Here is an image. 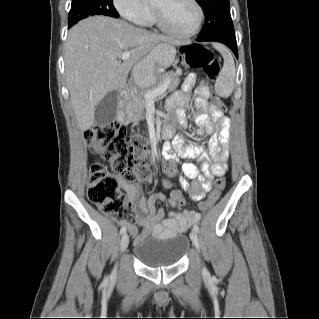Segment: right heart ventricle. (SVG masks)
<instances>
[{
    "instance_id": "right-heart-ventricle-1",
    "label": "right heart ventricle",
    "mask_w": 319,
    "mask_h": 319,
    "mask_svg": "<svg viewBox=\"0 0 319 319\" xmlns=\"http://www.w3.org/2000/svg\"><path fill=\"white\" fill-rule=\"evenodd\" d=\"M152 22H154V15H153V10L150 8L149 14L147 17V24H150Z\"/></svg>"
}]
</instances>
